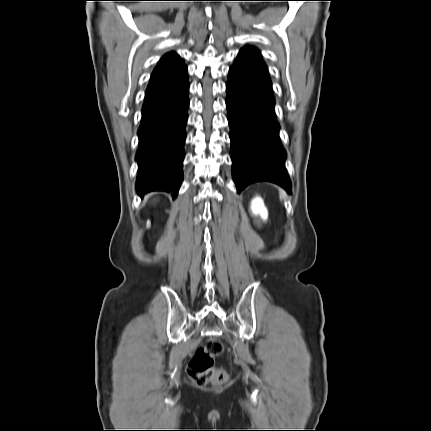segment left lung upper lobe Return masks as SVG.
<instances>
[{
  "instance_id": "5c2ea615",
  "label": "left lung upper lobe",
  "mask_w": 431,
  "mask_h": 431,
  "mask_svg": "<svg viewBox=\"0 0 431 431\" xmlns=\"http://www.w3.org/2000/svg\"><path fill=\"white\" fill-rule=\"evenodd\" d=\"M235 64L240 66H255L267 70L259 51L251 47H246L239 52Z\"/></svg>"
}]
</instances>
